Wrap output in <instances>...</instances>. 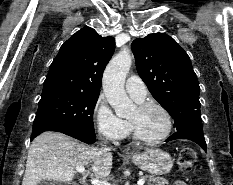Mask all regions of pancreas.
<instances>
[{"instance_id": "obj_1", "label": "pancreas", "mask_w": 233, "mask_h": 185, "mask_svg": "<svg viewBox=\"0 0 233 185\" xmlns=\"http://www.w3.org/2000/svg\"><path fill=\"white\" fill-rule=\"evenodd\" d=\"M147 180L148 185H169V181L163 177H155L153 175H144L141 177Z\"/></svg>"}]
</instances>
